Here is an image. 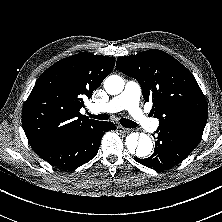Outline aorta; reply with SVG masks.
<instances>
[{
	"instance_id": "762f6f07",
	"label": "aorta",
	"mask_w": 222,
	"mask_h": 222,
	"mask_svg": "<svg viewBox=\"0 0 222 222\" xmlns=\"http://www.w3.org/2000/svg\"><path fill=\"white\" fill-rule=\"evenodd\" d=\"M124 79L118 75L108 76L104 81V89L110 95L120 94L124 89ZM126 147L131 155L146 158L153 149L151 138L144 133H131L126 137Z\"/></svg>"
}]
</instances>
